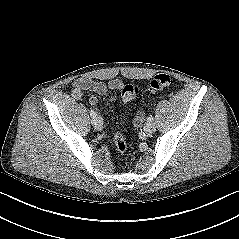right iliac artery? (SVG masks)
I'll return each instance as SVG.
<instances>
[{"mask_svg": "<svg viewBox=\"0 0 239 239\" xmlns=\"http://www.w3.org/2000/svg\"><path fill=\"white\" fill-rule=\"evenodd\" d=\"M90 115H91L92 118H95L97 114L94 110L91 109Z\"/></svg>", "mask_w": 239, "mask_h": 239, "instance_id": "82829eb1", "label": "right iliac artery"}]
</instances>
